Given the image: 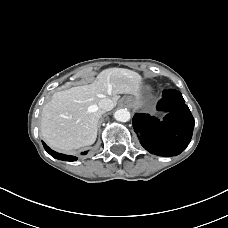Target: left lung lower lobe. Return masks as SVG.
<instances>
[{
  "mask_svg": "<svg viewBox=\"0 0 228 228\" xmlns=\"http://www.w3.org/2000/svg\"><path fill=\"white\" fill-rule=\"evenodd\" d=\"M157 110L168 114L160 121L148 114H135L133 128L141 145L150 153L171 157L188 146L194 128V118L182 94L174 89L164 90Z\"/></svg>",
  "mask_w": 228,
  "mask_h": 228,
  "instance_id": "left-lung-lower-lobe-1",
  "label": "left lung lower lobe"
}]
</instances>
